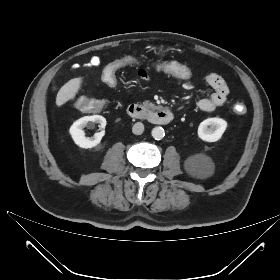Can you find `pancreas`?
Returning a JSON list of instances; mask_svg holds the SVG:
<instances>
[{
    "mask_svg": "<svg viewBox=\"0 0 280 280\" xmlns=\"http://www.w3.org/2000/svg\"><path fill=\"white\" fill-rule=\"evenodd\" d=\"M142 106L145 110L149 111V110H155L157 108V106H155L154 103L146 100L142 103Z\"/></svg>",
    "mask_w": 280,
    "mask_h": 280,
    "instance_id": "1",
    "label": "pancreas"
}]
</instances>
